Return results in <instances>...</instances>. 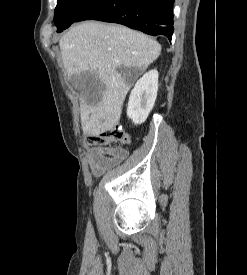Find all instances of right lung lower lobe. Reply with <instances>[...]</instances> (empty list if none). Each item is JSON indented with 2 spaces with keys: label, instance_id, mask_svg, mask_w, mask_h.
I'll list each match as a JSON object with an SVG mask.
<instances>
[{
  "label": "right lung lower lobe",
  "instance_id": "1",
  "mask_svg": "<svg viewBox=\"0 0 247 275\" xmlns=\"http://www.w3.org/2000/svg\"><path fill=\"white\" fill-rule=\"evenodd\" d=\"M174 0H98L76 20H99L125 25L171 41Z\"/></svg>",
  "mask_w": 247,
  "mask_h": 275
}]
</instances>
